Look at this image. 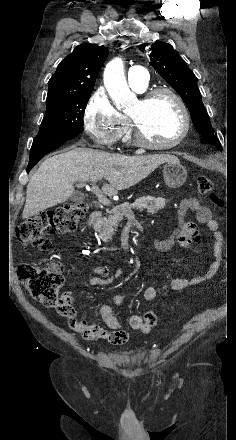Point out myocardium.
<instances>
[{
    "mask_svg": "<svg viewBox=\"0 0 236 440\" xmlns=\"http://www.w3.org/2000/svg\"><path fill=\"white\" fill-rule=\"evenodd\" d=\"M163 94L170 96L175 101V103L181 113V116H182L183 128H182L180 135L172 142L165 143V144H157V143H153V142L149 141L145 137L138 121L133 116L129 115L128 120H129V125H130V129H131L134 141L137 145H139L140 147H143L145 149L166 150V149L174 148L186 139V137L188 136L189 131H190L191 122H190V115H189L188 108H187L185 102L183 101V99L180 97V95L177 92H175L173 89L168 88V87H156L151 90L145 91L144 93H142V95L140 97V102L142 104H146L149 101H151L153 98H155L156 96L163 95Z\"/></svg>",
    "mask_w": 236,
    "mask_h": 440,
    "instance_id": "obj_1",
    "label": "myocardium"
}]
</instances>
